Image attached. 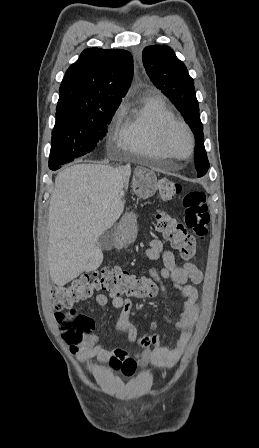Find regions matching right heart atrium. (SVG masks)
<instances>
[{
	"mask_svg": "<svg viewBox=\"0 0 259 448\" xmlns=\"http://www.w3.org/2000/svg\"><path fill=\"white\" fill-rule=\"evenodd\" d=\"M116 141H118V136L115 132H112L111 130H109V132L107 133V138H106V145L107 146H111L113 145V143H115Z\"/></svg>",
	"mask_w": 259,
	"mask_h": 448,
	"instance_id": "obj_1",
	"label": "right heart atrium"
}]
</instances>
